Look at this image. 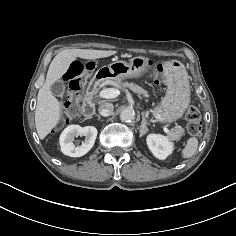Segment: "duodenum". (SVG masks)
Here are the masks:
<instances>
[{"instance_id":"duodenum-1","label":"duodenum","mask_w":236,"mask_h":236,"mask_svg":"<svg viewBox=\"0 0 236 236\" xmlns=\"http://www.w3.org/2000/svg\"><path fill=\"white\" fill-rule=\"evenodd\" d=\"M106 79V76L97 75L87 87L86 98L83 106L84 116L92 118L95 114L94 96L97 93L99 85Z\"/></svg>"}]
</instances>
